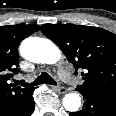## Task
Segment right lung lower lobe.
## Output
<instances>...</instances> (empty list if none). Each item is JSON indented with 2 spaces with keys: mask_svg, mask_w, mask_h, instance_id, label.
Returning <instances> with one entry per match:
<instances>
[{
  "mask_svg": "<svg viewBox=\"0 0 116 116\" xmlns=\"http://www.w3.org/2000/svg\"><path fill=\"white\" fill-rule=\"evenodd\" d=\"M34 109H35V102L31 96L29 100L12 116H31Z\"/></svg>",
  "mask_w": 116,
  "mask_h": 116,
  "instance_id": "98d812e1",
  "label": "right lung lower lobe"
}]
</instances>
